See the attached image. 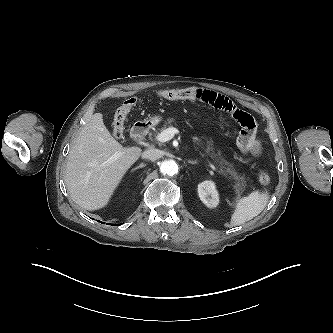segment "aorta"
<instances>
[{
    "instance_id": "obj_1",
    "label": "aorta",
    "mask_w": 333,
    "mask_h": 333,
    "mask_svg": "<svg viewBox=\"0 0 333 333\" xmlns=\"http://www.w3.org/2000/svg\"><path fill=\"white\" fill-rule=\"evenodd\" d=\"M160 172L164 175L173 176L178 172V165L174 160H165L160 165Z\"/></svg>"
}]
</instances>
